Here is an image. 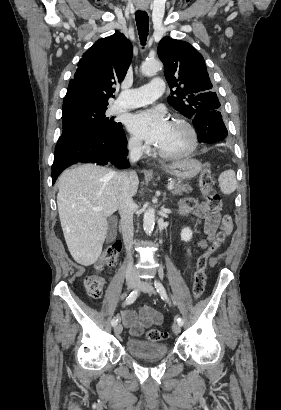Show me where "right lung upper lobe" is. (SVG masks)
<instances>
[{
	"instance_id": "obj_1",
	"label": "right lung upper lobe",
	"mask_w": 281,
	"mask_h": 410,
	"mask_svg": "<svg viewBox=\"0 0 281 410\" xmlns=\"http://www.w3.org/2000/svg\"><path fill=\"white\" fill-rule=\"evenodd\" d=\"M132 60V45L120 32L99 39L78 63L63 106L75 103L108 105L113 84L121 82Z\"/></svg>"
}]
</instances>
